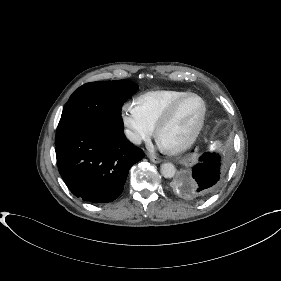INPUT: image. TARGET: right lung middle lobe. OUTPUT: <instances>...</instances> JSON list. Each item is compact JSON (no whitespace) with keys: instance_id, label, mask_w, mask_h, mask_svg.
Wrapping results in <instances>:
<instances>
[{"instance_id":"1","label":"right lung middle lobe","mask_w":281,"mask_h":281,"mask_svg":"<svg viewBox=\"0 0 281 281\" xmlns=\"http://www.w3.org/2000/svg\"><path fill=\"white\" fill-rule=\"evenodd\" d=\"M137 90L138 85L127 80L84 84L66 103L56 134L90 127L121 128L122 105Z\"/></svg>"}]
</instances>
